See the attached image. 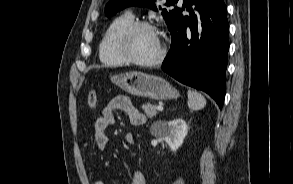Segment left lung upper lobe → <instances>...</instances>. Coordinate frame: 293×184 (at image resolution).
Returning a JSON list of instances; mask_svg holds the SVG:
<instances>
[{
  "label": "left lung upper lobe",
  "instance_id": "1",
  "mask_svg": "<svg viewBox=\"0 0 293 184\" xmlns=\"http://www.w3.org/2000/svg\"><path fill=\"white\" fill-rule=\"evenodd\" d=\"M177 2L178 0H167L165 6H174ZM128 6L147 7L155 11L161 10L168 28L172 23V18L176 9V7L174 9L168 10L162 8V6L158 4L155 0H110L109 3L106 5L105 13L108 17H110Z\"/></svg>",
  "mask_w": 293,
  "mask_h": 184
}]
</instances>
